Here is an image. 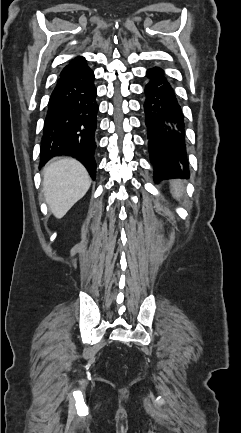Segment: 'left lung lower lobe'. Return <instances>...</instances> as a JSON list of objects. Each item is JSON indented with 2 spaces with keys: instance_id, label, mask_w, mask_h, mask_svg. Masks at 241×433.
I'll return each mask as SVG.
<instances>
[{
  "instance_id": "left-lung-lower-lobe-1",
  "label": "left lung lower lobe",
  "mask_w": 241,
  "mask_h": 433,
  "mask_svg": "<svg viewBox=\"0 0 241 433\" xmlns=\"http://www.w3.org/2000/svg\"><path fill=\"white\" fill-rule=\"evenodd\" d=\"M146 75L144 123L154 180L188 178L182 108L162 69L152 68Z\"/></svg>"
}]
</instances>
